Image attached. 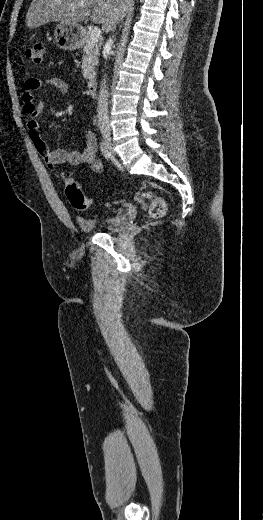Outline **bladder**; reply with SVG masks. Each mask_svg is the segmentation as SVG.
Instances as JSON below:
<instances>
[{"instance_id": "1", "label": "bladder", "mask_w": 263, "mask_h": 520, "mask_svg": "<svg viewBox=\"0 0 263 520\" xmlns=\"http://www.w3.org/2000/svg\"><path fill=\"white\" fill-rule=\"evenodd\" d=\"M76 222L85 232L96 230H114L121 225L122 219L118 215H109L101 218L78 217Z\"/></svg>"}]
</instances>
